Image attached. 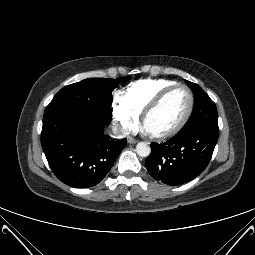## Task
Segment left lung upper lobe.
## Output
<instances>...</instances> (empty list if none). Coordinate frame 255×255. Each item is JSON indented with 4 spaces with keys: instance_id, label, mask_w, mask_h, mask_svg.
<instances>
[{
    "instance_id": "left-lung-upper-lobe-1",
    "label": "left lung upper lobe",
    "mask_w": 255,
    "mask_h": 255,
    "mask_svg": "<svg viewBox=\"0 0 255 255\" xmlns=\"http://www.w3.org/2000/svg\"><path fill=\"white\" fill-rule=\"evenodd\" d=\"M187 83L194 92V109L191 117L179 132H188L201 129L219 130L218 114L215 103L200 86L189 81H187Z\"/></svg>"
}]
</instances>
